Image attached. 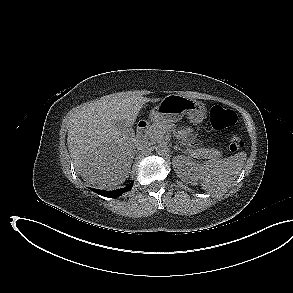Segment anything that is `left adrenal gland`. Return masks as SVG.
Returning a JSON list of instances; mask_svg holds the SVG:
<instances>
[{
  "label": "left adrenal gland",
  "instance_id": "obj_1",
  "mask_svg": "<svg viewBox=\"0 0 293 293\" xmlns=\"http://www.w3.org/2000/svg\"><path fill=\"white\" fill-rule=\"evenodd\" d=\"M174 149L177 150V149H180V148L178 146H174Z\"/></svg>",
  "mask_w": 293,
  "mask_h": 293
}]
</instances>
